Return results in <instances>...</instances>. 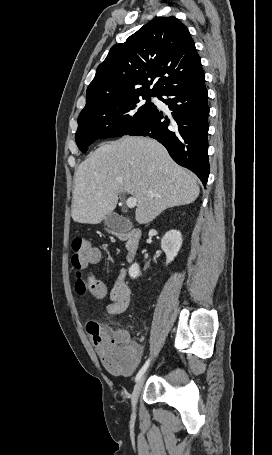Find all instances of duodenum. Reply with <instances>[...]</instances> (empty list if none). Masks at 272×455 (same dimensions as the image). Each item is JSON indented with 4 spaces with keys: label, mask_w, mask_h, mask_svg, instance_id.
I'll use <instances>...</instances> for the list:
<instances>
[{
    "label": "duodenum",
    "mask_w": 272,
    "mask_h": 455,
    "mask_svg": "<svg viewBox=\"0 0 272 455\" xmlns=\"http://www.w3.org/2000/svg\"><path fill=\"white\" fill-rule=\"evenodd\" d=\"M114 234L120 240L126 242V258L128 262H133L139 249L141 230L138 228H131L129 230H118Z\"/></svg>",
    "instance_id": "obj_1"
}]
</instances>
